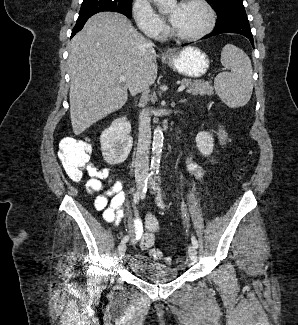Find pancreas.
I'll use <instances>...</instances> for the list:
<instances>
[{
  "instance_id": "cf45deb5",
  "label": "pancreas",
  "mask_w": 298,
  "mask_h": 325,
  "mask_svg": "<svg viewBox=\"0 0 298 325\" xmlns=\"http://www.w3.org/2000/svg\"><path fill=\"white\" fill-rule=\"evenodd\" d=\"M181 84H188L186 92H190V94H199V96H212L214 94V86L211 82L181 78Z\"/></svg>"
}]
</instances>
